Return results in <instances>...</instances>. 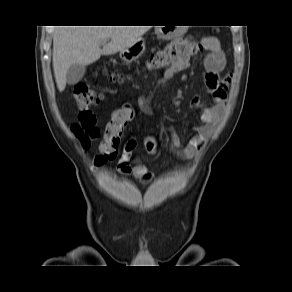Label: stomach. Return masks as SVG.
<instances>
[{
    "label": "stomach",
    "instance_id": "obj_1",
    "mask_svg": "<svg viewBox=\"0 0 292 292\" xmlns=\"http://www.w3.org/2000/svg\"><path fill=\"white\" fill-rule=\"evenodd\" d=\"M157 36L161 39H170L176 35V31H173V28L166 26H158L155 29ZM145 51V42L141 38L130 48L125 49L120 52V57L126 63H131L138 59L143 52Z\"/></svg>",
    "mask_w": 292,
    "mask_h": 292
}]
</instances>
